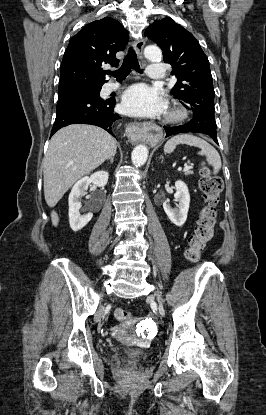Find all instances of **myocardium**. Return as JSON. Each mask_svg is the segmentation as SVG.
<instances>
[{
	"label": "myocardium",
	"mask_w": 266,
	"mask_h": 415,
	"mask_svg": "<svg viewBox=\"0 0 266 415\" xmlns=\"http://www.w3.org/2000/svg\"><path fill=\"white\" fill-rule=\"evenodd\" d=\"M188 116V111L185 107L174 104L165 115V120L170 123H177L184 120Z\"/></svg>",
	"instance_id": "myocardium-1"
}]
</instances>
